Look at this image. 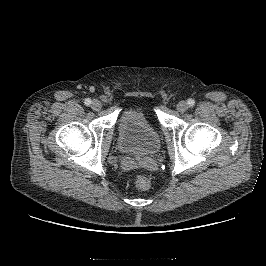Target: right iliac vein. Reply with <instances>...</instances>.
I'll list each match as a JSON object with an SVG mask.
<instances>
[{
    "label": "right iliac vein",
    "instance_id": "obj_1",
    "mask_svg": "<svg viewBox=\"0 0 266 266\" xmlns=\"http://www.w3.org/2000/svg\"><path fill=\"white\" fill-rule=\"evenodd\" d=\"M101 107H102V105H101V102H100V101H98V100H93V101H92V103H91V108H92L93 110L98 111V110L101 109Z\"/></svg>",
    "mask_w": 266,
    "mask_h": 266
}]
</instances>
